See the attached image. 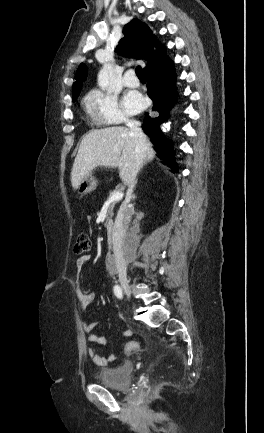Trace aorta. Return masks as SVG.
Instances as JSON below:
<instances>
[{
    "mask_svg": "<svg viewBox=\"0 0 264 433\" xmlns=\"http://www.w3.org/2000/svg\"><path fill=\"white\" fill-rule=\"evenodd\" d=\"M98 85L102 90L107 89L109 85V74L107 66H104L98 74Z\"/></svg>",
    "mask_w": 264,
    "mask_h": 433,
    "instance_id": "762f6f07",
    "label": "aorta"
}]
</instances>
